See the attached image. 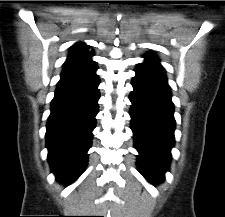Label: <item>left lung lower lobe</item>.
Here are the masks:
<instances>
[{"label": "left lung lower lobe", "instance_id": "obj_1", "mask_svg": "<svg viewBox=\"0 0 225 217\" xmlns=\"http://www.w3.org/2000/svg\"><path fill=\"white\" fill-rule=\"evenodd\" d=\"M130 93L131 129L138 167L151 184L162 182L169 170L175 119L171 91L159 61H145L135 70Z\"/></svg>", "mask_w": 225, "mask_h": 217}]
</instances>
